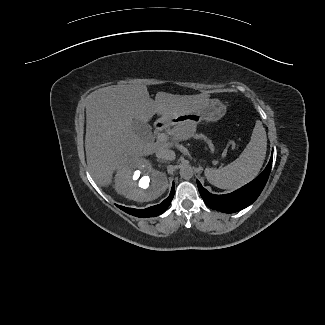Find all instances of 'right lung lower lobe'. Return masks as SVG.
<instances>
[{"instance_id": "right-lung-lower-lobe-1", "label": "right lung lower lobe", "mask_w": 325, "mask_h": 325, "mask_svg": "<svg viewBox=\"0 0 325 325\" xmlns=\"http://www.w3.org/2000/svg\"><path fill=\"white\" fill-rule=\"evenodd\" d=\"M174 183L172 185V189L170 192V195L160 204L152 206V207H148L146 209H134V208H127V207H123L120 205H117L120 209H122L123 211L127 212L128 214L137 216V217H154V216H158L160 214H162L164 211H166V209L168 208V206L170 205L173 196H174Z\"/></svg>"}]
</instances>
